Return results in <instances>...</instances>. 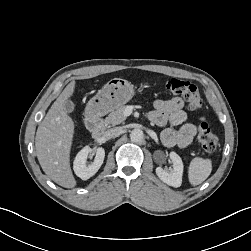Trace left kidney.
Wrapping results in <instances>:
<instances>
[{
	"label": "left kidney",
	"mask_w": 251,
	"mask_h": 251,
	"mask_svg": "<svg viewBox=\"0 0 251 251\" xmlns=\"http://www.w3.org/2000/svg\"><path fill=\"white\" fill-rule=\"evenodd\" d=\"M170 159L173 163L171 172H167L161 167L156 168L157 176L167 185L173 187H180L182 184L183 162L180 156L175 152H170Z\"/></svg>",
	"instance_id": "left-kidney-1"
}]
</instances>
